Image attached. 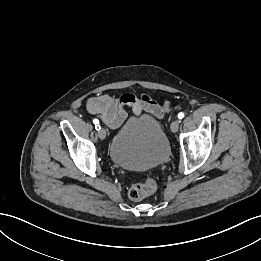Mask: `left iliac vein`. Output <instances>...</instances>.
<instances>
[{
	"instance_id": "obj_1",
	"label": "left iliac vein",
	"mask_w": 261,
	"mask_h": 261,
	"mask_svg": "<svg viewBox=\"0 0 261 261\" xmlns=\"http://www.w3.org/2000/svg\"><path fill=\"white\" fill-rule=\"evenodd\" d=\"M179 125H180V122L178 120L173 121L170 126L171 131L174 133L177 132L179 129Z\"/></svg>"
}]
</instances>
